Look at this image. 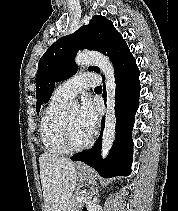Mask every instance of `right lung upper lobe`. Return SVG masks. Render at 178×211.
I'll use <instances>...</instances> for the list:
<instances>
[{"label":"right lung upper lobe","mask_w":178,"mask_h":211,"mask_svg":"<svg viewBox=\"0 0 178 211\" xmlns=\"http://www.w3.org/2000/svg\"><path fill=\"white\" fill-rule=\"evenodd\" d=\"M53 89H54V88L49 87V88L46 90L45 95H44V102H47V101L49 100V97H50V95H51Z\"/></svg>","instance_id":"cb5924a9"}]
</instances>
